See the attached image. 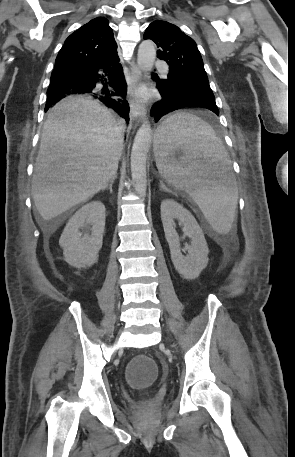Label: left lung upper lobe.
<instances>
[{"label":"left lung upper lobe","mask_w":295,"mask_h":457,"mask_svg":"<svg viewBox=\"0 0 295 457\" xmlns=\"http://www.w3.org/2000/svg\"><path fill=\"white\" fill-rule=\"evenodd\" d=\"M144 39L155 42L160 48L157 57L169 65L168 79L160 81L163 87L174 84L186 91H212L195 41L176 25L156 20L147 27Z\"/></svg>","instance_id":"left-lung-upper-lobe-1"}]
</instances>
